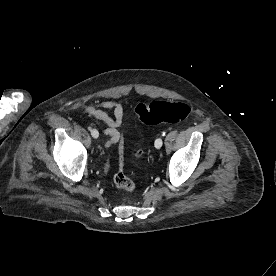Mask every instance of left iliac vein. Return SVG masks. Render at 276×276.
<instances>
[{
	"label": "left iliac vein",
	"instance_id": "left-iliac-vein-1",
	"mask_svg": "<svg viewBox=\"0 0 276 276\" xmlns=\"http://www.w3.org/2000/svg\"><path fill=\"white\" fill-rule=\"evenodd\" d=\"M162 145H163V140H162V138H157L156 141H155V147H156L157 149H159V148L162 147Z\"/></svg>",
	"mask_w": 276,
	"mask_h": 276
}]
</instances>
